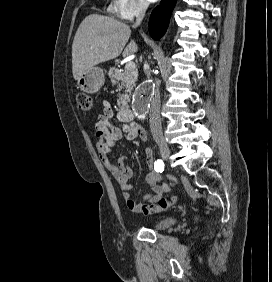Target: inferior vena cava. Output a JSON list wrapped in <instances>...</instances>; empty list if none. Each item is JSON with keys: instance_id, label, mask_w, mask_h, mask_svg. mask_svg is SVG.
Segmentation results:
<instances>
[{"instance_id": "obj_1", "label": "inferior vena cava", "mask_w": 272, "mask_h": 282, "mask_svg": "<svg viewBox=\"0 0 272 282\" xmlns=\"http://www.w3.org/2000/svg\"><path fill=\"white\" fill-rule=\"evenodd\" d=\"M148 4L142 3L138 7V11L136 14V22L133 27H137L141 24ZM146 68L145 73L149 78L151 76L150 68L147 63L144 64ZM149 122H150V129L154 140L160 141L163 140V133H162V126H161V118H160V93H159V84L156 82V88L153 90V98L151 100V107L149 110Z\"/></svg>"}]
</instances>
